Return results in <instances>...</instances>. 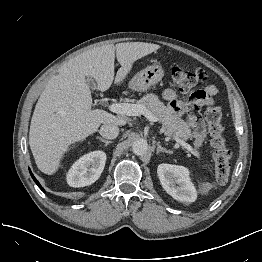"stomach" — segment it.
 <instances>
[{"instance_id":"stomach-1","label":"stomach","mask_w":262,"mask_h":262,"mask_svg":"<svg viewBox=\"0 0 262 262\" xmlns=\"http://www.w3.org/2000/svg\"><path fill=\"white\" fill-rule=\"evenodd\" d=\"M164 73L163 67L159 64L148 66L133 76L129 82V87L135 91H146L160 82Z\"/></svg>"}]
</instances>
